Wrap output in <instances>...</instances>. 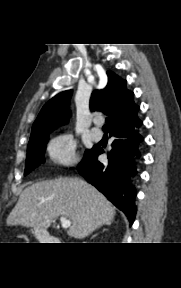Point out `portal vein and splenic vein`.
Listing matches in <instances>:
<instances>
[{"mask_svg":"<svg viewBox=\"0 0 181 288\" xmlns=\"http://www.w3.org/2000/svg\"><path fill=\"white\" fill-rule=\"evenodd\" d=\"M62 228H69L71 226V221L64 216L60 217Z\"/></svg>","mask_w":181,"mask_h":288,"instance_id":"1","label":"portal vein and splenic vein"}]
</instances>
